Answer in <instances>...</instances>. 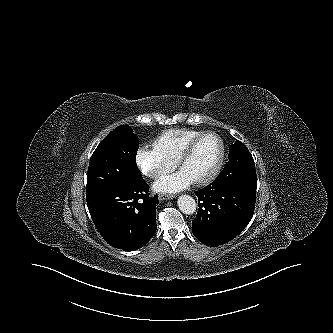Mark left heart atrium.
Segmentation results:
<instances>
[{
  "mask_svg": "<svg viewBox=\"0 0 333 333\" xmlns=\"http://www.w3.org/2000/svg\"><path fill=\"white\" fill-rule=\"evenodd\" d=\"M192 179L182 170L157 180L153 188L157 192L176 193L192 184Z\"/></svg>",
  "mask_w": 333,
  "mask_h": 333,
  "instance_id": "39dd6f15",
  "label": "left heart atrium"
}]
</instances>
